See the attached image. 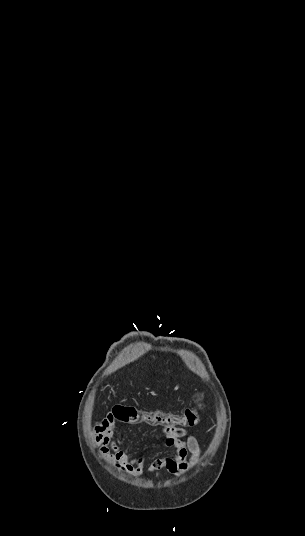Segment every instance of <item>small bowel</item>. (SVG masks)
Segmentation results:
<instances>
[{"instance_id": "1", "label": "small bowel", "mask_w": 305, "mask_h": 536, "mask_svg": "<svg viewBox=\"0 0 305 536\" xmlns=\"http://www.w3.org/2000/svg\"><path fill=\"white\" fill-rule=\"evenodd\" d=\"M115 413L104 411L102 419L92 425V442L100 455L118 471L141 477L165 469L177 476L189 471L198 461L200 448L197 439L182 427H160L166 447L173 450L172 456L155 458L146 466V459L134 455L123 447L119 430L113 425ZM114 435H113V434Z\"/></svg>"}]
</instances>
